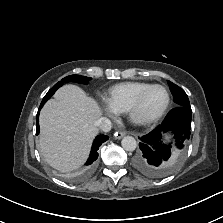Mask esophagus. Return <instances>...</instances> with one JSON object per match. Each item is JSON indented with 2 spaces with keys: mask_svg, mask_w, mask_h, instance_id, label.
Listing matches in <instances>:
<instances>
[{
  "mask_svg": "<svg viewBox=\"0 0 223 223\" xmlns=\"http://www.w3.org/2000/svg\"><path fill=\"white\" fill-rule=\"evenodd\" d=\"M125 135H126V133H125V132H122V131H120V132H116V133L114 134V136H115L116 139H121V138L124 137Z\"/></svg>",
  "mask_w": 223,
  "mask_h": 223,
  "instance_id": "34e87169",
  "label": "esophagus"
}]
</instances>
